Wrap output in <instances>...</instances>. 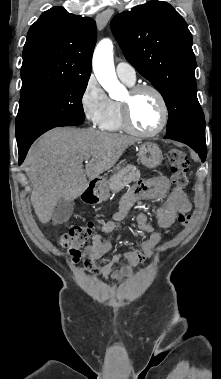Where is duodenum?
Here are the masks:
<instances>
[{"label":"duodenum","instance_id":"410a0bca","mask_svg":"<svg viewBox=\"0 0 221 379\" xmlns=\"http://www.w3.org/2000/svg\"><path fill=\"white\" fill-rule=\"evenodd\" d=\"M97 185H98V181L96 179L92 180L88 184V186L84 192V198L91 203H94L98 200L97 199Z\"/></svg>","mask_w":221,"mask_h":379}]
</instances>
